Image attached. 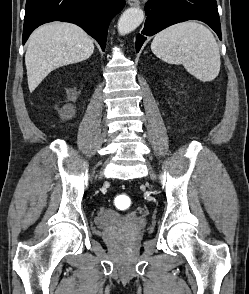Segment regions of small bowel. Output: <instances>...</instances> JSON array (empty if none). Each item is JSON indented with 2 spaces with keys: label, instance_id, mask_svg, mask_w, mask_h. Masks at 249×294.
Returning <instances> with one entry per match:
<instances>
[{
  "label": "small bowel",
  "instance_id": "c3829d8e",
  "mask_svg": "<svg viewBox=\"0 0 249 294\" xmlns=\"http://www.w3.org/2000/svg\"><path fill=\"white\" fill-rule=\"evenodd\" d=\"M108 216H111V213L108 210L105 209V210L102 211L100 219H104V218H106Z\"/></svg>",
  "mask_w": 249,
  "mask_h": 294
}]
</instances>
